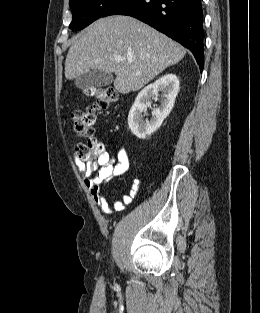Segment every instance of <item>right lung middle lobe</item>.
Segmentation results:
<instances>
[{"label": "right lung middle lobe", "instance_id": "right-lung-middle-lobe-1", "mask_svg": "<svg viewBox=\"0 0 260 313\" xmlns=\"http://www.w3.org/2000/svg\"><path fill=\"white\" fill-rule=\"evenodd\" d=\"M119 0H69L73 20L72 30H81L104 14Z\"/></svg>", "mask_w": 260, "mask_h": 313}]
</instances>
